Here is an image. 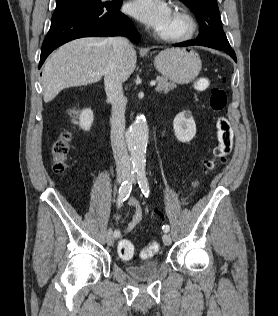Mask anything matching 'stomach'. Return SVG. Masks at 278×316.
<instances>
[{
	"mask_svg": "<svg viewBox=\"0 0 278 316\" xmlns=\"http://www.w3.org/2000/svg\"><path fill=\"white\" fill-rule=\"evenodd\" d=\"M154 65L164 78L178 84L192 82L202 68L198 53L179 48L161 51L155 57Z\"/></svg>",
	"mask_w": 278,
	"mask_h": 316,
	"instance_id": "obj_1",
	"label": "stomach"
}]
</instances>
